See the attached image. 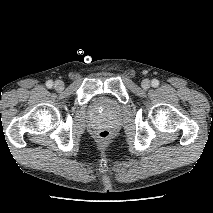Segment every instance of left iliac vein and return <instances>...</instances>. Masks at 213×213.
<instances>
[{"instance_id": "1", "label": "left iliac vein", "mask_w": 213, "mask_h": 213, "mask_svg": "<svg viewBox=\"0 0 213 213\" xmlns=\"http://www.w3.org/2000/svg\"><path fill=\"white\" fill-rule=\"evenodd\" d=\"M141 86L143 89L147 90L150 87V81L148 79H144L141 82Z\"/></svg>"}]
</instances>
